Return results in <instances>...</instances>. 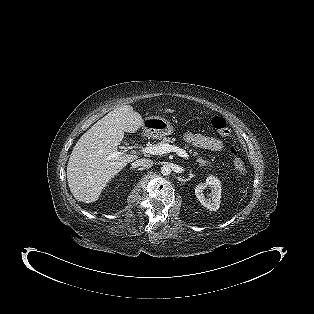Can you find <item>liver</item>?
<instances>
[{"instance_id": "1", "label": "liver", "mask_w": 314, "mask_h": 314, "mask_svg": "<svg viewBox=\"0 0 314 314\" xmlns=\"http://www.w3.org/2000/svg\"><path fill=\"white\" fill-rule=\"evenodd\" d=\"M166 113L174 110L164 109ZM143 125L141 116L130 105H123L97 121L77 141L67 164L68 186L74 198L83 203L97 201L109 181L136 155L122 154L109 159L117 152L126 133H134Z\"/></svg>"}]
</instances>
